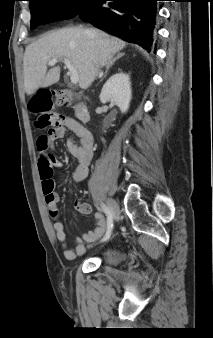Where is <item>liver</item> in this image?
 Listing matches in <instances>:
<instances>
[{"mask_svg": "<svg viewBox=\"0 0 213 338\" xmlns=\"http://www.w3.org/2000/svg\"><path fill=\"white\" fill-rule=\"evenodd\" d=\"M125 46L126 42L119 38L81 26L46 33L26 47L23 59L25 92L32 95L40 87L59 81L60 67L47 72V63L52 59H68L79 74V86L87 89L99 68Z\"/></svg>", "mask_w": 213, "mask_h": 338, "instance_id": "1", "label": "liver"}]
</instances>
